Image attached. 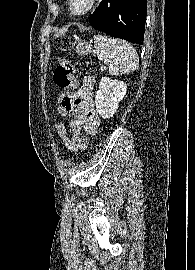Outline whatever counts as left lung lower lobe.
Returning <instances> with one entry per match:
<instances>
[{
  "label": "left lung lower lobe",
  "instance_id": "left-lung-lower-lobe-1",
  "mask_svg": "<svg viewBox=\"0 0 195 270\" xmlns=\"http://www.w3.org/2000/svg\"><path fill=\"white\" fill-rule=\"evenodd\" d=\"M146 8L147 0H102L89 21L99 31L142 44Z\"/></svg>",
  "mask_w": 195,
  "mask_h": 270
}]
</instances>
